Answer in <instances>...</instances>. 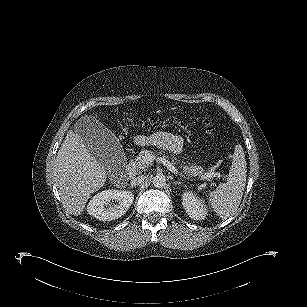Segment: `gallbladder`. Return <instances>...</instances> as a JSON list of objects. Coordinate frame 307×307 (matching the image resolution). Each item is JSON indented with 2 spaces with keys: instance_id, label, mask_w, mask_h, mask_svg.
Wrapping results in <instances>:
<instances>
[{
  "instance_id": "obj_1",
  "label": "gallbladder",
  "mask_w": 307,
  "mask_h": 307,
  "mask_svg": "<svg viewBox=\"0 0 307 307\" xmlns=\"http://www.w3.org/2000/svg\"><path fill=\"white\" fill-rule=\"evenodd\" d=\"M83 143L91 154L106 165L122 154L118 140L99 122L88 118L79 130ZM113 169H107L112 171Z\"/></svg>"
}]
</instances>
